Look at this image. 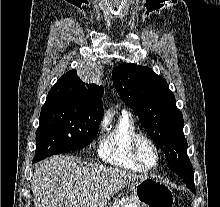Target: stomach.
Listing matches in <instances>:
<instances>
[{"instance_id":"0dacf381","label":"stomach","mask_w":220,"mask_h":207,"mask_svg":"<svg viewBox=\"0 0 220 207\" xmlns=\"http://www.w3.org/2000/svg\"><path fill=\"white\" fill-rule=\"evenodd\" d=\"M131 195L116 200L111 207H174L172 189L163 181L144 176L130 186Z\"/></svg>"}]
</instances>
